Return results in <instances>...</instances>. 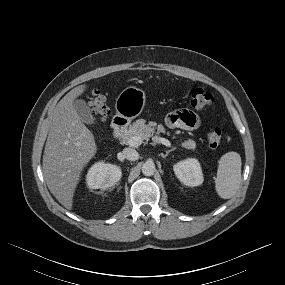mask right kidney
<instances>
[{
    "mask_svg": "<svg viewBox=\"0 0 285 285\" xmlns=\"http://www.w3.org/2000/svg\"><path fill=\"white\" fill-rule=\"evenodd\" d=\"M122 176L121 168L104 162L95 163L88 171L86 183L90 189L105 190L114 186Z\"/></svg>",
    "mask_w": 285,
    "mask_h": 285,
    "instance_id": "obj_1",
    "label": "right kidney"
}]
</instances>
